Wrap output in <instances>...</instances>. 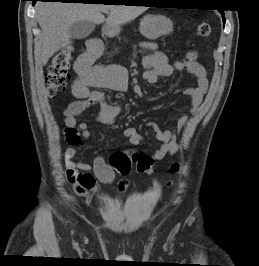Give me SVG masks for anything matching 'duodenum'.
Wrapping results in <instances>:
<instances>
[{
	"label": "duodenum",
	"instance_id": "410a0bca",
	"mask_svg": "<svg viewBox=\"0 0 259 266\" xmlns=\"http://www.w3.org/2000/svg\"><path fill=\"white\" fill-rule=\"evenodd\" d=\"M93 50L97 52V51L99 50V46H98V45H95V46L93 47Z\"/></svg>",
	"mask_w": 259,
	"mask_h": 266
}]
</instances>
